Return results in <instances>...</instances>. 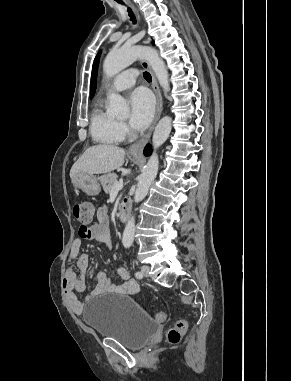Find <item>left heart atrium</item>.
Masks as SVG:
<instances>
[{
	"label": "left heart atrium",
	"mask_w": 291,
	"mask_h": 381,
	"mask_svg": "<svg viewBox=\"0 0 291 381\" xmlns=\"http://www.w3.org/2000/svg\"><path fill=\"white\" fill-rule=\"evenodd\" d=\"M130 125L136 130L146 128L154 116V99L145 89L139 88L130 96Z\"/></svg>",
	"instance_id": "1"
}]
</instances>
